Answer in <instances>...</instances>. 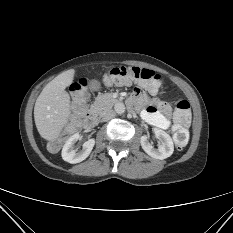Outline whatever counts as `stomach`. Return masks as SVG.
I'll return each mask as SVG.
<instances>
[{"label": "stomach", "instance_id": "stomach-1", "mask_svg": "<svg viewBox=\"0 0 233 233\" xmlns=\"http://www.w3.org/2000/svg\"><path fill=\"white\" fill-rule=\"evenodd\" d=\"M93 86L98 87L99 83L97 81H93Z\"/></svg>", "mask_w": 233, "mask_h": 233}]
</instances>
